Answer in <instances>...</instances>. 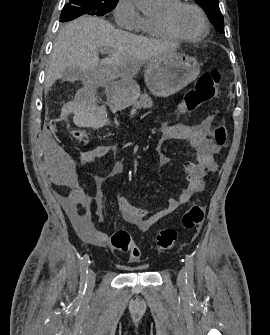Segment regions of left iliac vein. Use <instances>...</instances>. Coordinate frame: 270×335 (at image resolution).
<instances>
[{"instance_id":"obj_1","label":"left iliac vein","mask_w":270,"mask_h":335,"mask_svg":"<svg viewBox=\"0 0 270 335\" xmlns=\"http://www.w3.org/2000/svg\"><path fill=\"white\" fill-rule=\"evenodd\" d=\"M177 283L180 287H184L186 285V269L182 268L177 277Z\"/></svg>"}]
</instances>
